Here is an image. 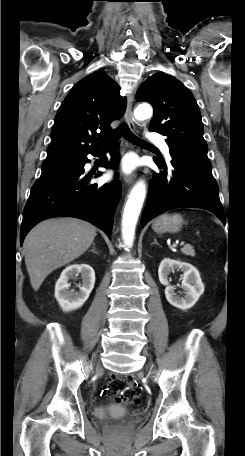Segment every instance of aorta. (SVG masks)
Masks as SVG:
<instances>
[{
    "mask_svg": "<svg viewBox=\"0 0 245 456\" xmlns=\"http://www.w3.org/2000/svg\"><path fill=\"white\" fill-rule=\"evenodd\" d=\"M153 109L147 103L137 106L134 116L137 120H145L152 116ZM146 184L139 180L132 188L126 202L122 219V239L125 245L131 246L134 241L137 220L145 199Z\"/></svg>",
    "mask_w": 245,
    "mask_h": 456,
    "instance_id": "aorta-1",
    "label": "aorta"
}]
</instances>
